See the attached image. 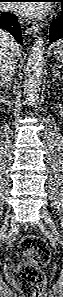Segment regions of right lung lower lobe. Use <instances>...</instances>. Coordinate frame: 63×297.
<instances>
[{
    "mask_svg": "<svg viewBox=\"0 0 63 297\" xmlns=\"http://www.w3.org/2000/svg\"><path fill=\"white\" fill-rule=\"evenodd\" d=\"M0 28L9 31L19 43H22L20 26L14 14L0 12Z\"/></svg>",
    "mask_w": 63,
    "mask_h": 297,
    "instance_id": "1",
    "label": "right lung lower lobe"
}]
</instances>
